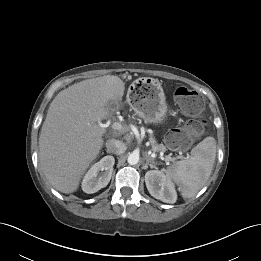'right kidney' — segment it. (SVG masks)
Wrapping results in <instances>:
<instances>
[{"mask_svg":"<svg viewBox=\"0 0 261 261\" xmlns=\"http://www.w3.org/2000/svg\"><path fill=\"white\" fill-rule=\"evenodd\" d=\"M114 163L115 159L110 155L95 163L83 178L82 190L87 194H92L106 187L111 179ZM100 171L104 172L100 173Z\"/></svg>","mask_w":261,"mask_h":261,"instance_id":"ca27d5eb","label":"right kidney"}]
</instances>
